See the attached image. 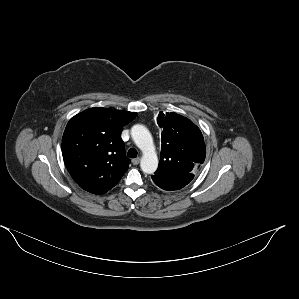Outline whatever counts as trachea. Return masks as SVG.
Returning a JSON list of instances; mask_svg holds the SVG:
<instances>
[{"mask_svg":"<svg viewBox=\"0 0 299 299\" xmlns=\"http://www.w3.org/2000/svg\"><path fill=\"white\" fill-rule=\"evenodd\" d=\"M128 156H129L130 158H136V157H137V151H136V149H134V148H130V149L128 150Z\"/></svg>","mask_w":299,"mask_h":299,"instance_id":"1","label":"trachea"}]
</instances>
